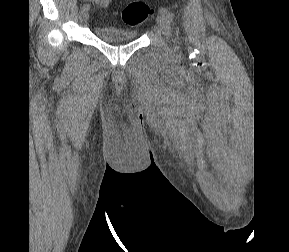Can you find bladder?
<instances>
[{
    "label": "bladder",
    "instance_id": "1",
    "mask_svg": "<svg viewBox=\"0 0 289 252\" xmlns=\"http://www.w3.org/2000/svg\"><path fill=\"white\" fill-rule=\"evenodd\" d=\"M94 34L100 40L107 43H124L135 40L138 32L130 29H122L114 26H97Z\"/></svg>",
    "mask_w": 289,
    "mask_h": 252
}]
</instances>
